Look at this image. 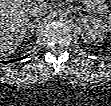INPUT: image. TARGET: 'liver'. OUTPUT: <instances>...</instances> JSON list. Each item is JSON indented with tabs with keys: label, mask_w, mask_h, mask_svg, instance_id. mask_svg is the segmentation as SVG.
<instances>
[{
	"label": "liver",
	"mask_w": 111,
	"mask_h": 106,
	"mask_svg": "<svg viewBox=\"0 0 111 106\" xmlns=\"http://www.w3.org/2000/svg\"><path fill=\"white\" fill-rule=\"evenodd\" d=\"M35 1H0V54L10 55L21 44L30 20V9Z\"/></svg>",
	"instance_id": "1"
}]
</instances>
